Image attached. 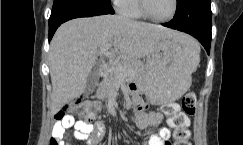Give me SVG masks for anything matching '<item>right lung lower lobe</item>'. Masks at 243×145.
Instances as JSON below:
<instances>
[{
	"label": "right lung lower lobe",
	"mask_w": 243,
	"mask_h": 145,
	"mask_svg": "<svg viewBox=\"0 0 243 145\" xmlns=\"http://www.w3.org/2000/svg\"><path fill=\"white\" fill-rule=\"evenodd\" d=\"M104 14H114L110 0H54L49 19V41L65 21Z\"/></svg>",
	"instance_id": "obj_1"
}]
</instances>
